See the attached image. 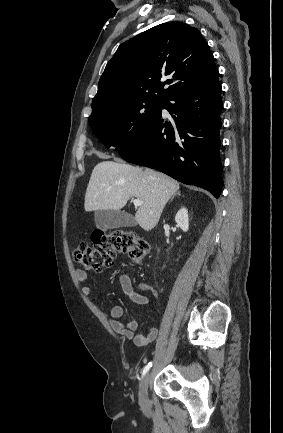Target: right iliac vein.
<instances>
[{
    "label": "right iliac vein",
    "instance_id": "1",
    "mask_svg": "<svg viewBox=\"0 0 283 433\" xmlns=\"http://www.w3.org/2000/svg\"><path fill=\"white\" fill-rule=\"evenodd\" d=\"M150 372L146 373L141 384H140V390H139V404L141 405V407L143 408V410H145L148 406V395H147V391H148V385H149V381H150Z\"/></svg>",
    "mask_w": 283,
    "mask_h": 433
}]
</instances>
